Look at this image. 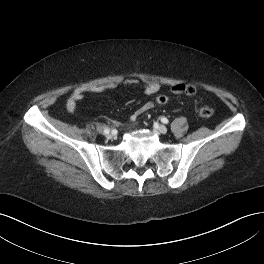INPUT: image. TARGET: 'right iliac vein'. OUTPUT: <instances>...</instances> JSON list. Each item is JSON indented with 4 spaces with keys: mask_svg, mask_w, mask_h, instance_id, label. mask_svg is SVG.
I'll list each match as a JSON object with an SVG mask.
<instances>
[{
    "mask_svg": "<svg viewBox=\"0 0 264 264\" xmlns=\"http://www.w3.org/2000/svg\"><path fill=\"white\" fill-rule=\"evenodd\" d=\"M113 135L111 133L106 134V137L111 138Z\"/></svg>",
    "mask_w": 264,
    "mask_h": 264,
    "instance_id": "obj_1",
    "label": "right iliac vein"
}]
</instances>
